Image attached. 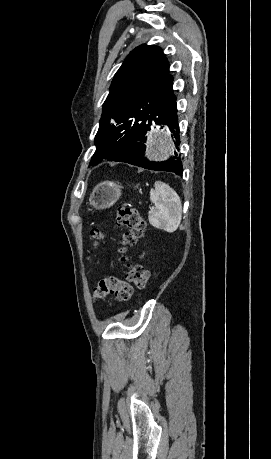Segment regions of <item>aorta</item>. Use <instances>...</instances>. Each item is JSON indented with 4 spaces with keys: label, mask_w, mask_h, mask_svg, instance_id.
Here are the masks:
<instances>
[{
    "label": "aorta",
    "mask_w": 271,
    "mask_h": 459,
    "mask_svg": "<svg viewBox=\"0 0 271 459\" xmlns=\"http://www.w3.org/2000/svg\"><path fill=\"white\" fill-rule=\"evenodd\" d=\"M174 152V145L170 134L164 128L157 129L150 143L148 158L152 160H163L169 158Z\"/></svg>",
    "instance_id": "aorta-1"
}]
</instances>
